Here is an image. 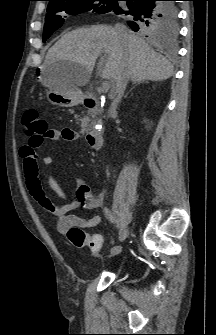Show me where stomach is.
<instances>
[{"mask_svg": "<svg viewBox=\"0 0 216 335\" xmlns=\"http://www.w3.org/2000/svg\"><path fill=\"white\" fill-rule=\"evenodd\" d=\"M79 65L71 62L57 63L51 68L42 67L40 81L48 87L47 100L60 107H73L82 101L81 92L66 79V70Z\"/></svg>", "mask_w": 216, "mask_h": 335, "instance_id": "0dacf381", "label": "stomach"}]
</instances>
